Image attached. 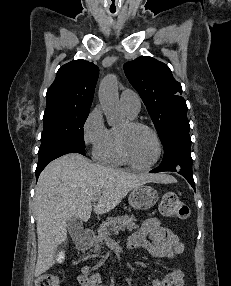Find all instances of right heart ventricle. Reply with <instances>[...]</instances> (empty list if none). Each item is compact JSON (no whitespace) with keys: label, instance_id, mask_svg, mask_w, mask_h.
<instances>
[{"label":"right heart ventricle","instance_id":"obj_1","mask_svg":"<svg viewBox=\"0 0 231 286\" xmlns=\"http://www.w3.org/2000/svg\"><path fill=\"white\" fill-rule=\"evenodd\" d=\"M125 112L129 119L136 117V115ZM117 133V129H108L104 142L94 153L95 158L99 162L110 166H122L125 164L118 150Z\"/></svg>","mask_w":231,"mask_h":286}]
</instances>
